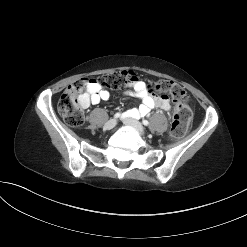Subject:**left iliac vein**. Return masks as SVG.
<instances>
[{
  "instance_id": "obj_1",
  "label": "left iliac vein",
  "mask_w": 247,
  "mask_h": 247,
  "mask_svg": "<svg viewBox=\"0 0 247 247\" xmlns=\"http://www.w3.org/2000/svg\"><path fill=\"white\" fill-rule=\"evenodd\" d=\"M122 120L124 124L132 127L139 135H144L145 130L139 121L131 117H124Z\"/></svg>"
}]
</instances>
